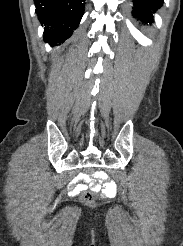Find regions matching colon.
<instances>
[{
  "instance_id": "1",
  "label": "colon",
  "mask_w": 183,
  "mask_h": 246,
  "mask_svg": "<svg viewBox=\"0 0 183 246\" xmlns=\"http://www.w3.org/2000/svg\"><path fill=\"white\" fill-rule=\"evenodd\" d=\"M85 172L92 175L94 172V167H85ZM81 200L84 204L91 205L95 201V194L92 191H84L81 195Z\"/></svg>"
}]
</instances>
